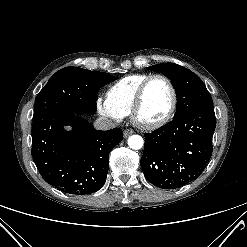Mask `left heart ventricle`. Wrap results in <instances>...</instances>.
Segmentation results:
<instances>
[{"label":"left heart ventricle","mask_w":247,"mask_h":247,"mask_svg":"<svg viewBox=\"0 0 247 247\" xmlns=\"http://www.w3.org/2000/svg\"><path fill=\"white\" fill-rule=\"evenodd\" d=\"M172 95L168 83L163 79H154L146 89L139 111V118L145 122L161 119L169 110Z\"/></svg>","instance_id":"1"}]
</instances>
